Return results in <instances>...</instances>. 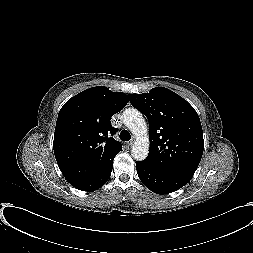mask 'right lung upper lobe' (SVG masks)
Here are the masks:
<instances>
[{
	"label": "right lung upper lobe",
	"mask_w": 253,
	"mask_h": 253,
	"mask_svg": "<svg viewBox=\"0 0 253 253\" xmlns=\"http://www.w3.org/2000/svg\"><path fill=\"white\" fill-rule=\"evenodd\" d=\"M128 96L104 86L89 88L61 108L54 134V154L66 180L73 184L103 171L122 150L112 136L111 117Z\"/></svg>",
	"instance_id": "right-lung-upper-lobe-1"
}]
</instances>
